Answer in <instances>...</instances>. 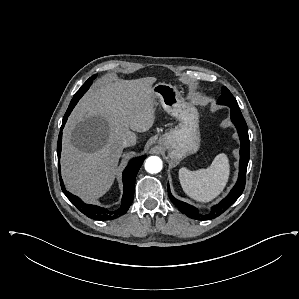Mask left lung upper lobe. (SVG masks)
<instances>
[{
    "label": "left lung upper lobe",
    "mask_w": 299,
    "mask_h": 299,
    "mask_svg": "<svg viewBox=\"0 0 299 299\" xmlns=\"http://www.w3.org/2000/svg\"><path fill=\"white\" fill-rule=\"evenodd\" d=\"M217 103L220 105L238 106L236 99L233 97L231 92L225 86L222 88V95L217 100Z\"/></svg>",
    "instance_id": "5c2ea615"
}]
</instances>
